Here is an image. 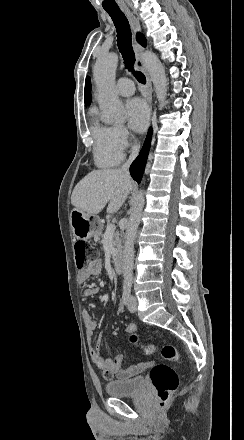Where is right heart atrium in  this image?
Segmentation results:
<instances>
[{"mask_svg":"<svg viewBox=\"0 0 244 440\" xmlns=\"http://www.w3.org/2000/svg\"><path fill=\"white\" fill-rule=\"evenodd\" d=\"M130 131L121 125L110 127V136L104 146L107 151H122L129 146Z\"/></svg>","mask_w":244,"mask_h":440,"instance_id":"obj_1","label":"right heart atrium"}]
</instances>
